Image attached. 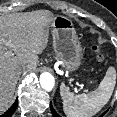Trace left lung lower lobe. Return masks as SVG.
<instances>
[{
	"label": "left lung lower lobe",
	"mask_w": 117,
	"mask_h": 117,
	"mask_svg": "<svg viewBox=\"0 0 117 117\" xmlns=\"http://www.w3.org/2000/svg\"><path fill=\"white\" fill-rule=\"evenodd\" d=\"M51 111H52V114L54 115V116H56V117H61L60 115H58L57 113H56V111L52 108V105H51ZM107 112V111H106ZM106 112H104L100 117H102Z\"/></svg>",
	"instance_id": "1"
}]
</instances>
